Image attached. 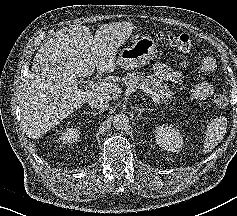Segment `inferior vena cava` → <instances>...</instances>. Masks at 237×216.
Wrapping results in <instances>:
<instances>
[{
    "label": "inferior vena cava",
    "instance_id": "inferior-vena-cava-1",
    "mask_svg": "<svg viewBox=\"0 0 237 216\" xmlns=\"http://www.w3.org/2000/svg\"><path fill=\"white\" fill-rule=\"evenodd\" d=\"M90 107L97 109L100 112H106L110 108V95L104 92H94V94L87 101Z\"/></svg>",
    "mask_w": 237,
    "mask_h": 216
}]
</instances>
